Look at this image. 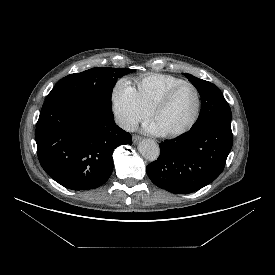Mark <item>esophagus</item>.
Here are the masks:
<instances>
[{
  "label": "esophagus",
  "instance_id": "1",
  "mask_svg": "<svg viewBox=\"0 0 275 275\" xmlns=\"http://www.w3.org/2000/svg\"><path fill=\"white\" fill-rule=\"evenodd\" d=\"M132 140L134 144H137L141 140V137L138 135H133Z\"/></svg>",
  "mask_w": 275,
  "mask_h": 275
}]
</instances>
